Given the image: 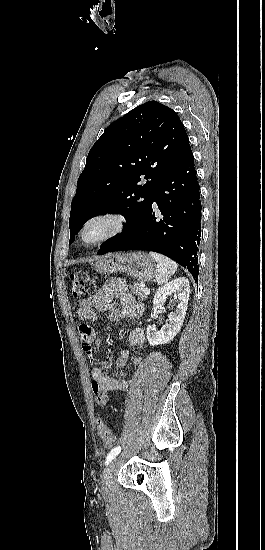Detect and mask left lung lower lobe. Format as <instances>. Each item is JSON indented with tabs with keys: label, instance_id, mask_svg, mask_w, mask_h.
Returning <instances> with one entry per match:
<instances>
[{
	"label": "left lung lower lobe",
	"instance_id": "1",
	"mask_svg": "<svg viewBox=\"0 0 265 550\" xmlns=\"http://www.w3.org/2000/svg\"><path fill=\"white\" fill-rule=\"evenodd\" d=\"M154 202L160 215L153 210ZM200 221L197 171L189 145L165 175L137 225L116 242L102 245L98 255L122 250L158 252L187 268L198 281Z\"/></svg>",
	"mask_w": 265,
	"mask_h": 550
}]
</instances>
